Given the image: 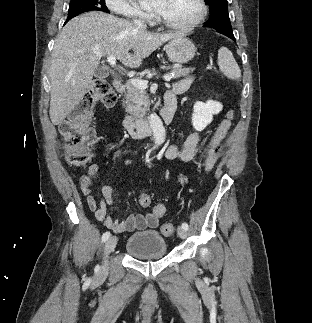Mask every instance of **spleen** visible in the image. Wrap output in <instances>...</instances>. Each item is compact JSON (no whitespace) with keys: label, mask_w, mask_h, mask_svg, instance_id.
<instances>
[{"label":"spleen","mask_w":312,"mask_h":323,"mask_svg":"<svg viewBox=\"0 0 312 323\" xmlns=\"http://www.w3.org/2000/svg\"><path fill=\"white\" fill-rule=\"evenodd\" d=\"M218 66L219 70L227 76L229 80H239L241 78V70L233 58L232 52L228 48H220L218 50Z\"/></svg>","instance_id":"obj_1"}]
</instances>
